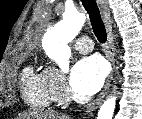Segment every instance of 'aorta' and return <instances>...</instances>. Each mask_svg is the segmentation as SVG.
I'll return each instance as SVG.
<instances>
[{
	"mask_svg": "<svg viewBox=\"0 0 142 119\" xmlns=\"http://www.w3.org/2000/svg\"><path fill=\"white\" fill-rule=\"evenodd\" d=\"M85 21V14L76 9L66 10L63 19L43 36L42 47L46 55L58 64L63 73L69 71L71 50L68 43L77 36ZM115 106L116 97H109L101 106L97 119H112Z\"/></svg>",
	"mask_w": 142,
	"mask_h": 119,
	"instance_id": "762f6f07",
	"label": "aorta"
}]
</instances>
